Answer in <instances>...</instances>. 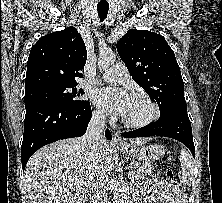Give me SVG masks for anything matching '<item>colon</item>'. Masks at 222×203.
Returning <instances> with one entry per match:
<instances>
[{
  "label": "colon",
  "mask_w": 222,
  "mask_h": 203,
  "mask_svg": "<svg viewBox=\"0 0 222 203\" xmlns=\"http://www.w3.org/2000/svg\"><path fill=\"white\" fill-rule=\"evenodd\" d=\"M164 174H165L166 179L171 185H174V186L177 185V179H176V175L173 168L171 167L166 168Z\"/></svg>",
  "instance_id": "1"
}]
</instances>
